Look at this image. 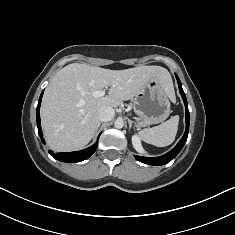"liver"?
<instances>
[{"mask_svg": "<svg viewBox=\"0 0 235 235\" xmlns=\"http://www.w3.org/2000/svg\"><path fill=\"white\" fill-rule=\"evenodd\" d=\"M159 79L170 98L174 88L169 72L161 66L110 70L72 63L62 68L46 88L41 123L46 142L58 152L78 150L93 138L104 106L118 107L130 100L151 80ZM111 87L108 95L94 92Z\"/></svg>", "mask_w": 235, "mask_h": 235, "instance_id": "1", "label": "liver"}]
</instances>
